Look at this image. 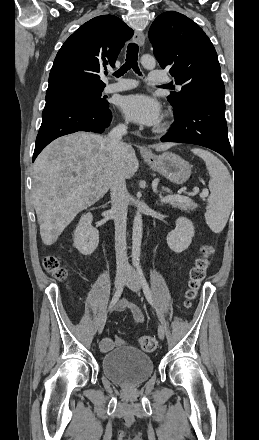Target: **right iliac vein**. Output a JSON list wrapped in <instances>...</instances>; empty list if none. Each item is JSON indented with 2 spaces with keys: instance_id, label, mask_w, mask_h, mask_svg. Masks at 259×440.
<instances>
[{
  "instance_id": "right-iliac-vein-1",
  "label": "right iliac vein",
  "mask_w": 259,
  "mask_h": 440,
  "mask_svg": "<svg viewBox=\"0 0 259 440\" xmlns=\"http://www.w3.org/2000/svg\"><path fill=\"white\" fill-rule=\"evenodd\" d=\"M124 275H125V270L124 269H121V270H119L117 272V275H116V278H115V289H116V291L122 285L123 280H124ZM106 320H107V314L105 313L103 315V317L101 318L100 323H99V327H98L99 334L102 333V331L104 329V326H105V323H106Z\"/></svg>"
}]
</instances>
